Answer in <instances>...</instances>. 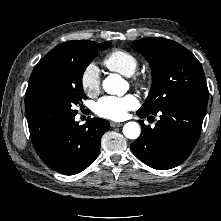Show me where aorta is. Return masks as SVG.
<instances>
[{
	"mask_svg": "<svg viewBox=\"0 0 221 221\" xmlns=\"http://www.w3.org/2000/svg\"><path fill=\"white\" fill-rule=\"evenodd\" d=\"M103 89L111 95H123L127 91V83L118 74H111L103 81ZM123 134L126 138L137 139L141 134V128L137 122L130 121L123 126Z\"/></svg>",
	"mask_w": 221,
	"mask_h": 221,
	"instance_id": "1",
	"label": "aorta"
}]
</instances>
